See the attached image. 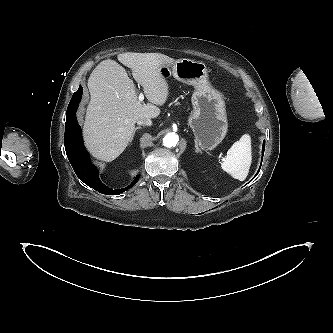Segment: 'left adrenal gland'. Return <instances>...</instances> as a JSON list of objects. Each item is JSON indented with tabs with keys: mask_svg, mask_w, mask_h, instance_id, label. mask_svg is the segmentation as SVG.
Listing matches in <instances>:
<instances>
[{
	"mask_svg": "<svg viewBox=\"0 0 333 333\" xmlns=\"http://www.w3.org/2000/svg\"><path fill=\"white\" fill-rule=\"evenodd\" d=\"M195 148H196V152H200V149L198 148V144L196 141H195Z\"/></svg>",
	"mask_w": 333,
	"mask_h": 333,
	"instance_id": "1",
	"label": "left adrenal gland"
}]
</instances>
